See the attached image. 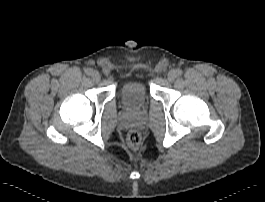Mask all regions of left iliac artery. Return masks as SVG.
Returning a JSON list of instances; mask_svg holds the SVG:
<instances>
[{"label":"left iliac artery","mask_w":265,"mask_h":202,"mask_svg":"<svg viewBox=\"0 0 265 202\" xmlns=\"http://www.w3.org/2000/svg\"><path fill=\"white\" fill-rule=\"evenodd\" d=\"M176 74H177V75H181V74H182V70L179 69V68H177V69H176Z\"/></svg>","instance_id":"left-iliac-artery-1"}]
</instances>
